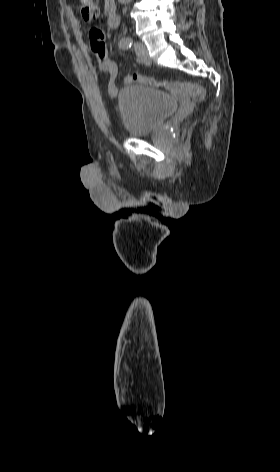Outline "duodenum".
<instances>
[{
    "mask_svg": "<svg viewBox=\"0 0 280 472\" xmlns=\"http://www.w3.org/2000/svg\"><path fill=\"white\" fill-rule=\"evenodd\" d=\"M120 17L114 9H110L107 16V24L110 28H116L119 26Z\"/></svg>",
    "mask_w": 280,
    "mask_h": 472,
    "instance_id": "1",
    "label": "duodenum"
}]
</instances>
